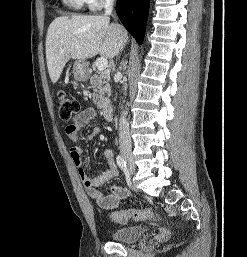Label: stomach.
<instances>
[{
  "mask_svg": "<svg viewBox=\"0 0 247 257\" xmlns=\"http://www.w3.org/2000/svg\"><path fill=\"white\" fill-rule=\"evenodd\" d=\"M73 74L77 81H86L89 77L88 64L83 60H77L73 65Z\"/></svg>",
  "mask_w": 247,
  "mask_h": 257,
  "instance_id": "obj_1",
  "label": "stomach"
}]
</instances>
